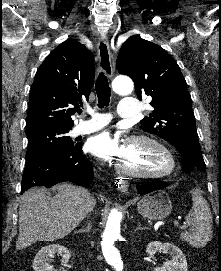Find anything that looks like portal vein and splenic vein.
I'll list each match as a JSON object with an SVG mask.
<instances>
[{"label": "portal vein and splenic vein", "instance_id": "18ae733b", "mask_svg": "<svg viewBox=\"0 0 221 271\" xmlns=\"http://www.w3.org/2000/svg\"><path fill=\"white\" fill-rule=\"evenodd\" d=\"M174 225H178V221H174ZM181 227H184V225H181Z\"/></svg>", "mask_w": 221, "mask_h": 271}]
</instances>
